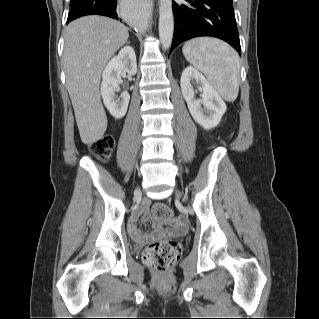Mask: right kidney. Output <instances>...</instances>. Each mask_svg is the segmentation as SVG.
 I'll list each match as a JSON object with an SVG mask.
<instances>
[{
    "mask_svg": "<svg viewBox=\"0 0 319 319\" xmlns=\"http://www.w3.org/2000/svg\"><path fill=\"white\" fill-rule=\"evenodd\" d=\"M136 72L135 51L132 47L125 46L117 56L108 62L102 73L101 95L103 102L110 114L116 119L125 116L130 100V95L127 92L121 93L120 97L116 95V92L120 90L121 74L135 75Z\"/></svg>",
    "mask_w": 319,
    "mask_h": 319,
    "instance_id": "1",
    "label": "right kidney"
}]
</instances>
